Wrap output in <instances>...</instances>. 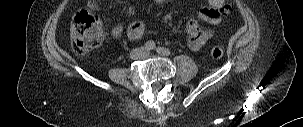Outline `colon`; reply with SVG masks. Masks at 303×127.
<instances>
[{
	"label": "colon",
	"mask_w": 303,
	"mask_h": 127,
	"mask_svg": "<svg viewBox=\"0 0 303 127\" xmlns=\"http://www.w3.org/2000/svg\"><path fill=\"white\" fill-rule=\"evenodd\" d=\"M102 26L100 20L87 10L78 11L71 25V40L74 50L79 54H86L102 41ZM210 56L214 60L223 57V50L218 46L210 48Z\"/></svg>",
	"instance_id": "colon-1"
}]
</instances>
